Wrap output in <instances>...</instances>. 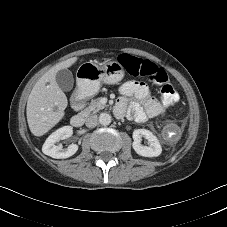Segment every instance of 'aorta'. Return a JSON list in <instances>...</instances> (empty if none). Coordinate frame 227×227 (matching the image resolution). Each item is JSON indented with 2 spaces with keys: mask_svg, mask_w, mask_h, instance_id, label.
Listing matches in <instances>:
<instances>
[{
  "mask_svg": "<svg viewBox=\"0 0 227 227\" xmlns=\"http://www.w3.org/2000/svg\"><path fill=\"white\" fill-rule=\"evenodd\" d=\"M111 121H112V117L109 113H101L99 115V123L101 125H104V126L109 125Z\"/></svg>",
  "mask_w": 227,
  "mask_h": 227,
  "instance_id": "1",
  "label": "aorta"
}]
</instances>
